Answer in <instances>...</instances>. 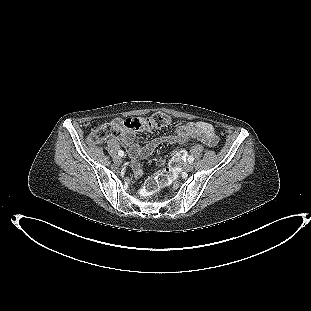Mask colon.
<instances>
[{"mask_svg":"<svg viewBox=\"0 0 311 311\" xmlns=\"http://www.w3.org/2000/svg\"><path fill=\"white\" fill-rule=\"evenodd\" d=\"M172 122L173 118L164 113H155L151 117L119 119L94 128L88 135L87 142L90 145L100 144L108 138L118 135L122 128L131 130L151 129L164 127ZM176 168L177 162L176 159H173L167 168L146 180L141 190L142 196L153 195L163 186L171 183L175 177Z\"/></svg>","mask_w":311,"mask_h":311,"instance_id":"1","label":"colon"}]
</instances>
